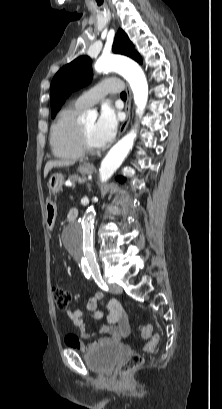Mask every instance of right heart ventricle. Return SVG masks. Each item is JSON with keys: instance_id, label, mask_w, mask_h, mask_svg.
<instances>
[{"instance_id": "obj_1", "label": "right heart ventricle", "mask_w": 222, "mask_h": 409, "mask_svg": "<svg viewBox=\"0 0 222 409\" xmlns=\"http://www.w3.org/2000/svg\"><path fill=\"white\" fill-rule=\"evenodd\" d=\"M83 110L75 102L58 113L50 131L51 149L56 157L75 160L83 156L78 145L79 116Z\"/></svg>"}]
</instances>
